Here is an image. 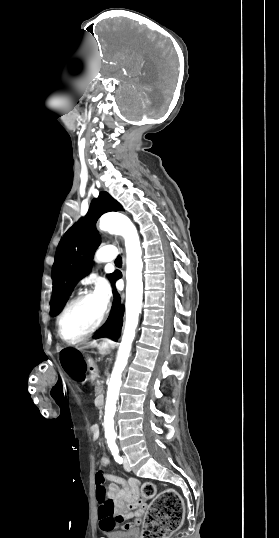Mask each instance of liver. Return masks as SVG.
Here are the masks:
<instances>
[{"label":"liver","mask_w":279,"mask_h":538,"mask_svg":"<svg viewBox=\"0 0 279 538\" xmlns=\"http://www.w3.org/2000/svg\"><path fill=\"white\" fill-rule=\"evenodd\" d=\"M88 346H92V348H96L98 346L97 342H89Z\"/></svg>","instance_id":"liver-1"}]
</instances>
